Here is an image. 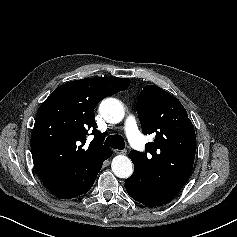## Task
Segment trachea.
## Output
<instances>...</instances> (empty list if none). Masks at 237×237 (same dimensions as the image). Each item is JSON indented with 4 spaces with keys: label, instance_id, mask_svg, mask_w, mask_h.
I'll return each mask as SVG.
<instances>
[{
    "label": "trachea",
    "instance_id": "1",
    "mask_svg": "<svg viewBox=\"0 0 237 237\" xmlns=\"http://www.w3.org/2000/svg\"><path fill=\"white\" fill-rule=\"evenodd\" d=\"M105 145L114 149L123 150L125 143L124 139L120 135H110L105 140Z\"/></svg>",
    "mask_w": 237,
    "mask_h": 237
}]
</instances>
